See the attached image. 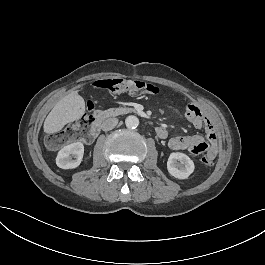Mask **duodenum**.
I'll list each match as a JSON object with an SVG mask.
<instances>
[{
    "label": "duodenum",
    "instance_id": "410a0bca",
    "mask_svg": "<svg viewBox=\"0 0 265 265\" xmlns=\"http://www.w3.org/2000/svg\"><path fill=\"white\" fill-rule=\"evenodd\" d=\"M103 115H104L103 111L97 110V111L94 112V116L97 118V120L94 122V125L92 126V128L94 130H96L98 133H100V131H101V123H100L98 118L102 117ZM156 135L159 138L165 137L166 136V131L161 129V128H158L156 130Z\"/></svg>",
    "mask_w": 265,
    "mask_h": 265
}]
</instances>
